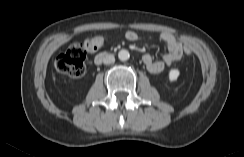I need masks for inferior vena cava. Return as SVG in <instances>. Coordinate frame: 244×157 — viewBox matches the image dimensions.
<instances>
[{
    "instance_id": "602c4592",
    "label": "inferior vena cava",
    "mask_w": 244,
    "mask_h": 157,
    "mask_svg": "<svg viewBox=\"0 0 244 157\" xmlns=\"http://www.w3.org/2000/svg\"><path fill=\"white\" fill-rule=\"evenodd\" d=\"M114 61H115V57L112 54H106L103 57V63L104 64H111V63H114Z\"/></svg>"
}]
</instances>
